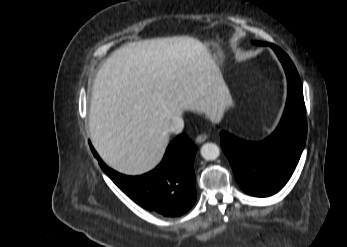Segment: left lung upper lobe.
Listing matches in <instances>:
<instances>
[{
	"label": "left lung upper lobe",
	"mask_w": 347,
	"mask_h": 247,
	"mask_svg": "<svg viewBox=\"0 0 347 247\" xmlns=\"http://www.w3.org/2000/svg\"><path fill=\"white\" fill-rule=\"evenodd\" d=\"M255 44H257V45H268V43H263V42H255Z\"/></svg>",
	"instance_id": "1"
}]
</instances>
